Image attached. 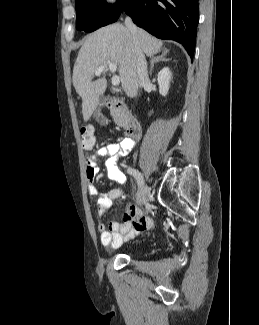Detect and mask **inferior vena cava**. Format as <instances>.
Segmentation results:
<instances>
[{
    "instance_id": "1",
    "label": "inferior vena cava",
    "mask_w": 259,
    "mask_h": 325,
    "mask_svg": "<svg viewBox=\"0 0 259 325\" xmlns=\"http://www.w3.org/2000/svg\"><path fill=\"white\" fill-rule=\"evenodd\" d=\"M125 26L130 31L133 41H134V67L137 73V79L139 87H142L148 82V72H147V62L145 59V55L140 47L138 41V29L133 23L130 17H126Z\"/></svg>"
}]
</instances>
